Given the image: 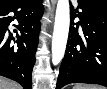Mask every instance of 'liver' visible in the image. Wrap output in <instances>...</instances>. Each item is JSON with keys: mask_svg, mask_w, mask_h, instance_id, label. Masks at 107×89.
I'll use <instances>...</instances> for the list:
<instances>
[{"mask_svg": "<svg viewBox=\"0 0 107 89\" xmlns=\"http://www.w3.org/2000/svg\"><path fill=\"white\" fill-rule=\"evenodd\" d=\"M0 89H20V86L10 80L2 78L0 81Z\"/></svg>", "mask_w": 107, "mask_h": 89, "instance_id": "6515ba94", "label": "liver"}]
</instances>
